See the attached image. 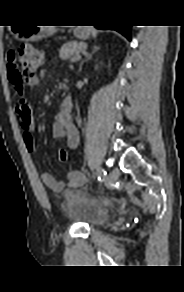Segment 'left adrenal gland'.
I'll list each match as a JSON object with an SVG mask.
<instances>
[{
  "label": "left adrenal gland",
  "mask_w": 184,
  "mask_h": 292,
  "mask_svg": "<svg viewBox=\"0 0 184 292\" xmlns=\"http://www.w3.org/2000/svg\"><path fill=\"white\" fill-rule=\"evenodd\" d=\"M98 50H99V47L94 46V47H93V51H92V53L89 54V55H86V56H85V59H83V60L81 61L80 65H79V72H80L81 69H82V65H83V63H84L85 61L91 59L92 56H93V54H94L96 51H98Z\"/></svg>",
  "instance_id": "a2214340"
}]
</instances>
